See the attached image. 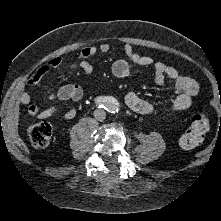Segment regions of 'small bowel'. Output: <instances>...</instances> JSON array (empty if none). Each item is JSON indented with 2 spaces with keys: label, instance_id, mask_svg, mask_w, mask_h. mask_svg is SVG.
I'll use <instances>...</instances> for the list:
<instances>
[{
  "label": "small bowel",
  "instance_id": "small-bowel-1",
  "mask_svg": "<svg viewBox=\"0 0 221 221\" xmlns=\"http://www.w3.org/2000/svg\"><path fill=\"white\" fill-rule=\"evenodd\" d=\"M123 49L127 56V60H118L112 65V73L116 77L124 78L129 76L132 65L147 67L153 64V60L150 56L138 53L131 44L125 43ZM109 50V44L101 43L98 46L88 45L82 47L76 54L75 59L70 63H66V61L60 57L52 58L34 75L29 77L27 83L30 85H37L43 77L54 68H79L85 75H90L93 72V66L89 59L94 57L98 52L107 53ZM154 80L159 86H166L168 80L173 83L176 96L169 108L171 112L188 109L192 104L193 98L199 91V85L196 80L181 74L176 68L163 62L154 64ZM82 97L83 90L79 85L64 84L49 95V100L51 102H55L56 100L78 102ZM20 101L28 106V112L31 116L39 119H49L58 112V109L54 105L45 109H40L32 102L27 92H23L20 95ZM124 102L131 110L138 114L149 115L155 112L154 105L135 92L126 93ZM76 114V109L71 107L64 112L62 118L64 120H71Z\"/></svg>",
  "mask_w": 221,
  "mask_h": 221
}]
</instances>
